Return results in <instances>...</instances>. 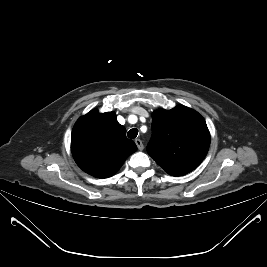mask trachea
<instances>
[{
  "label": "trachea",
  "instance_id": "3493384b",
  "mask_svg": "<svg viewBox=\"0 0 267 267\" xmlns=\"http://www.w3.org/2000/svg\"><path fill=\"white\" fill-rule=\"evenodd\" d=\"M128 137L134 139L138 135V130L136 128L130 129L127 133Z\"/></svg>",
  "mask_w": 267,
  "mask_h": 267
}]
</instances>
